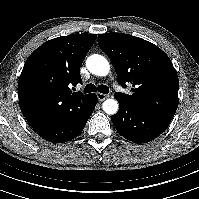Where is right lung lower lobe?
I'll return each instance as SVG.
<instances>
[{
	"label": "right lung lower lobe",
	"mask_w": 199,
	"mask_h": 199,
	"mask_svg": "<svg viewBox=\"0 0 199 199\" xmlns=\"http://www.w3.org/2000/svg\"><path fill=\"white\" fill-rule=\"evenodd\" d=\"M97 102L96 94L92 93L87 105L81 112L56 128L38 132L39 136L53 143H64L74 139L83 131Z\"/></svg>",
	"instance_id": "right-lung-lower-lobe-1"
}]
</instances>
